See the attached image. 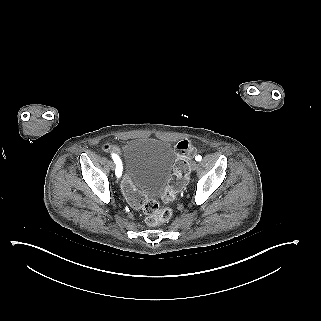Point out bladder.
Wrapping results in <instances>:
<instances>
[{
  "label": "bladder",
  "mask_w": 321,
  "mask_h": 321,
  "mask_svg": "<svg viewBox=\"0 0 321 321\" xmlns=\"http://www.w3.org/2000/svg\"><path fill=\"white\" fill-rule=\"evenodd\" d=\"M176 159L172 145L161 139L137 137L122 150V181L145 199L163 195Z\"/></svg>",
  "instance_id": "31cf9c89"
}]
</instances>
